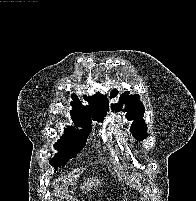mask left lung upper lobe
<instances>
[{
	"instance_id": "5c2ea615",
	"label": "left lung upper lobe",
	"mask_w": 196,
	"mask_h": 201,
	"mask_svg": "<svg viewBox=\"0 0 196 201\" xmlns=\"http://www.w3.org/2000/svg\"><path fill=\"white\" fill-rule=\"evenodd\" d=\"M117 93L116 89L113 90L110 98L116 97ZM128 94L129 92L127 91L122 93L119 98V103L112 104L111 108L113 112H119L122 111L121 107L125 104L123 111L127 112L126 117L128 120L134 121L131 125L130 131L135 138L143 140L147 137V125L143 119L145 108L142 102H140V96Z\"/></svg>"
}]
</instances>
